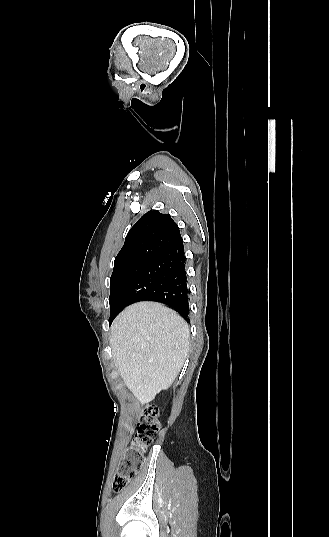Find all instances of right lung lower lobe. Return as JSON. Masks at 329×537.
Masks as SVG:
<instances>
[{
	"label": "right lung lower lobe",
	"instance_id": "1",
	"mask_svg": "<svg viewBox=\"0 0 329 537\" xmlns=\"http://www.w3.org/2000/svg\"><path fill=\"white\" fill-rule=\"evenodd\" d=\"M185 259L181 241L151 261L124 293L119 312L135 301L152 300L169 305L188 321L189 290ZM113 319L109 321L110 324Z\"/></svg>",
	"mask_w": 329,
	"mask_h": 537
}]
</instances>
